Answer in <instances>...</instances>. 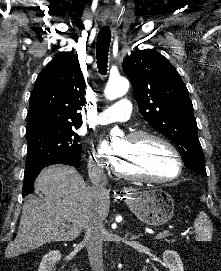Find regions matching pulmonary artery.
<instances>
[{
  "label": "pulmonary artery",
  "instance_id": "1",
  "mask_svg": "<svg viewBox=\"0 0 221 271\" xmlns=\"http://www.w3.org/2000/svg\"><path fill=\"white\" fill-rule=\"evenodd\" d=\"M123 102H115V107H108V112H92V117H100L103 126H108V122H135V117H131L132 107L130 102L124 98ZM98 120V119H96ZM100 124L98 121L95 123Z\"/></svg>",
  "mask_w": 221,
  "mask_h": 271
}]
</instances>
